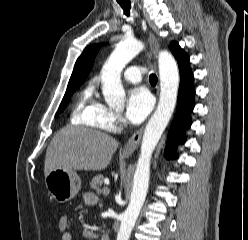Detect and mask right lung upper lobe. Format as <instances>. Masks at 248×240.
Here are the masks:
<instances>
[{"label": "right lung upper lobe", "instance_id": "1", "mask_svg": "<svg viewBox=\"0 0 248 240\" xmlns=\"http://www.w3.org/2000/svg\"><path fill=\"white\" fill-rule=\"evenodd\" d=\"M100 49L99 44H94L91 46H88L83 53L79 56L77 59L74 70L72 72L71 80H76V81H81L82 83L85 81L87 78L93 63L94 59Z\"/></svg>", "mask_w": 248, "mask_h": 240}]
</instances>
